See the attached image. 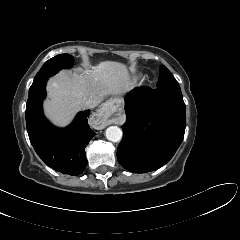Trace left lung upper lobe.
I'll return each instance as SVG.
<instances>
[{
    "instance_id": "5c2ea615",
    "label": "left lung upper lobe",
    "mask_w": 240,
    "mask_h": 240,
    "mask_svg": "<svg viewBox=\"0 0 240 240\" xmlns=\"http://www.w3.org/2000/svg\"><path fill=\"white\" fill-rule=\"evenodd\" d=\"M160 71L158 87H180L171 72L164 65L161 66Z\"/></svg>"
}]
</instances>
